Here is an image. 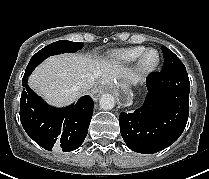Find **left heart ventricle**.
Returning <instances> with one entry per match:
<instances>
[{
  "label": "left heart ventricle",
  "instance_id": "1",
  "mask_svg": "<svg viewBox=\"0 0 209 179\" xmlns=\"http://www.w3.org/2000/svg\"><path fill=\"white\" fill-rule=\"evenodd\" d=\"M156 58H157L156 53L155 52H150L146 57V62L148 64H151L156 60Z\"/></svg>",
  "mask_w": 209,
  "mask_h": 179
}]
</instances>
